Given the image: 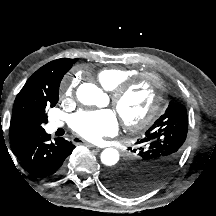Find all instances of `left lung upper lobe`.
I'll return each instance as SVG.
<instances>
[{
    "mask_svg": "<svg viewBox=\"0 0 216 216\" xmlns=\"http://www.w3.org/2000/svg\"><path fill=\"white\" fill-rule=\"evenodd\" d=\"M187 133L185 106L170 102L145 137L138 140V149L133 150L137 156L126 162L130 171L119 183L123 188H132L127 191L129 196L149 191L168 176L180 160Z\"/></svg>",
    "mask_w": 216,
    "mask_h": 216,
    "instance_id": "5c2ea615",
    "label": "left lung upper lobe"
}]
</instances>
